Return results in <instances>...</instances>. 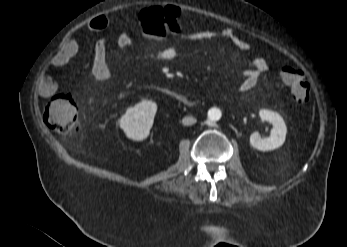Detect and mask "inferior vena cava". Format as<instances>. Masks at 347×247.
<instances>
[{
  "instance_id": "1",
  "label": "inferior vena cava",
  "mask_w": 347,
  "mask_h": 247,
  "mask_svg": "<svg viewBox=\"0 0 347 247\" xmlns=\"http://www.w3.org/2000/svg\"><path fill=\"white\" fill-rule=\"evenodd\" d=\"M182 123L184 125H193L196 123V118H194L192 116H186L182 119Z\"/></svg>"
}]
</instances>
